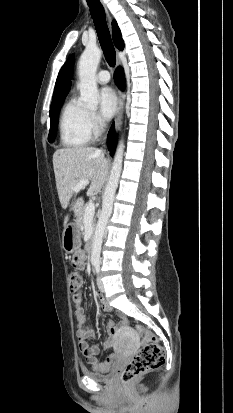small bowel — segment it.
<instances>
[{
	"label": "small bowel",
	"mask_w": 233,
	"mask_h": 413,
	"mask_svg": "<svg viewBox=\"0 0 233 413\" xmlns=\"http://www.w3.org/2000/svg\"><path fill=\"white\" fill-rule=\"evenodd\" d=\"M84 249L82 247H77L75 249V253H73L70 257V262L73 265V268L77 273H82L84 271ZM73 304L75 306V320L77 331L76 335L78 338V345L82 355L85 357L87 362L92 365V367L96 371H104L106 370L109 365L114 361L115 355H109L103 362H100L96 355L100 351V346L98 344L89 345L87 340L95 336V331L87 325L86 315L84 313L83 308L81 307L82 303V292L79 290L76 293H73L72 296ZM96 299L98 300L101 308L106 311H112V307L107 303L104 297L100 294L96 295ZM119 328V324L114 322L109 323L108 331L112 335H115ZM104 348H110L115 346L114 338H109L103 344Z\"/></svg>",
	"instance_id": "small-bowel-1"
}]
</instances>
